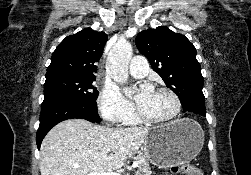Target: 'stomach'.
<instances>
[{"instance_id":"1","label":"stomach","mask_w":251,"mask_h":175,"mask_svg":"<svg viewBox=\"0 0 251 175\" xmlns=\"http://www.w3.org/2000/svg\"><path fill=\"white\" fill-rule=\"evenodd\" d=\"M204 143V131L195 119H175L167 125L150 127L145 135V157L159 167L182 165L195 159Z\"/></svg>"}]
</instances>
